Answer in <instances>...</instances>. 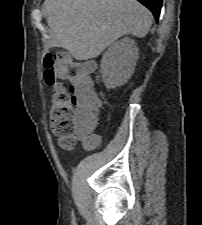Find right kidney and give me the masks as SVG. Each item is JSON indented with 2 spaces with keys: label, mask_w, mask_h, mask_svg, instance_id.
Returning a JSON list of instances; mask_svg holds the SVG:
<instances>
[{
  "label": "right kidney",
  "mask_w": 202,
  "mask_h": 225,
  "mask_svg": "<svg viewBox=\"0 0 202 225\" xmlns=\"http://www.w3.org/2000/svg\"><path fill=\"white\" fill-rule=\"evenodd\" d=\"M138 48L134 40L125 37L111 45L104 53L100 73L106 88L111 89L127 83L134 72Z\"/></svg>",
  "instance_id": "obj_1"
}]
</instances>
